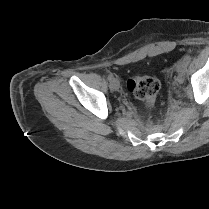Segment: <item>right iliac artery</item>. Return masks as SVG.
Returning <instances> with one entry per match:
<instances>
[{
	"mask_svg": "<svg viewBox=\"0 0 209 209\" xmlns=\"http://www.w3.org/2000/svg\"><path fill=\"white\" fill-rule=\"evenodd\" d=\"M113 79H114V76H113L112 74H109V75H108V80H109V81H112Z\"/></svg>",
	"mask_w": 209,
	"mask_h": 209,
	"instance_id": "82829eb1",
	"label": "right iliac artery"
}]
</instances>
